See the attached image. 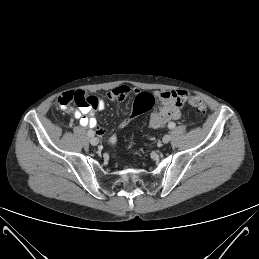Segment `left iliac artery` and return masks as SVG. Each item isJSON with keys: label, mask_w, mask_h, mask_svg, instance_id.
<instances>
[{"label": "left iliac artery", "mask_w": 259, "mask_h": 259, "mask_svg": "<svg viewBox=\"0 0 259 259\" xmlns=\"http://www.w3.org/2000/svg\"><path fill=\"white\" fill-rule=\"evenodd\" d=\"M175 126H176V124H175L174 122H170V123L168 124V128H169V129H173V128H175Z\"/></svg>", "instance_id": "44dca946"}]
</instances>
